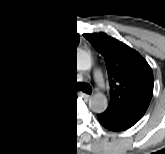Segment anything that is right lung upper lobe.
<instances>
[{"mask_svg": "<svg viewBox=\"0 0 165 154\" xmlns=\"http://www.w3.org/2000/svg\"><path fill=\"white\" fill-rule=\"evenodd\" d=\"M76 33L46 31L25 40L11 56L3 88L16 115L43 104L67 90L63 70L77 48Z\"/></svg>", "mask_w": 165, "mask_h": 154, "instance_id": "obj_1", "label": "right lung upper lobe"}]
</instances>
